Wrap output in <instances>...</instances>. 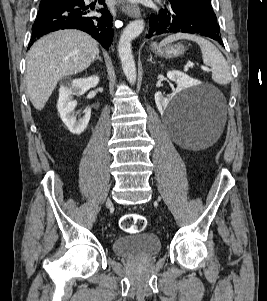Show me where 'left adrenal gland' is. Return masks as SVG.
Wrapping results in <instances>:
<instances>
[{
	"label": "left adrenal gland",
	"mask_w": 267,
	"mask_h": 301,
	"mask_svg": "<svg viewBox=\"0 0 267 301\" xmlns=\"http://www.w3.org/2000/svg\"><path fill=\"white\" fill-rule=\"evenodd\" d=\"M148 61L155 64V62L152 60V55H150V58L148 59Z\"/></svg>",
	"instance_id": "obj_1"
}]
</instances>
